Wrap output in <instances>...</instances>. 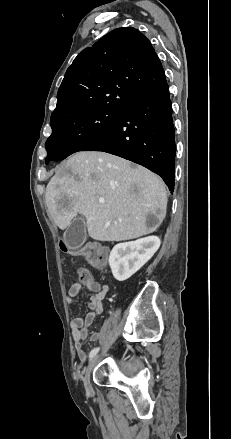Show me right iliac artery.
<instances>
[{
  "label": "right iliac artery",
  "instance_id": "82829eb1",
  "mask_svg": "<svg viewBox=\"0 0 231 439\" xmlns=\"http://www.w3.org/2000/svg\"><path fill=\"white\" fill-rule=\"evenodd\" d=\"M99 351V347L94 348L90 353H89V358L94 357Z\"/></svg>",
  "mask_w": 231,
  "mask_h": 439
}]
</instances>
